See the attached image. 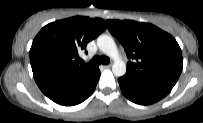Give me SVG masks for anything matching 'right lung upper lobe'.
<instances>
[{
	"instance_id": "right-lung-upper-lobe-1",
	"label": "right lung upper lobe",
	"mask_w": 203,
	"mask_h": 123,
	"mask_svg": "<svg viewBox=\"0 0 203 123\" xmlns=\"http://www.w3.org/2000/svg\"><path fill=\"white\" fill-rule=\"evenodd\" d=\"M106 29L100 18L76 16L44 26L33 40L30 62L37 82L62 75L86 74L97 66L81 64L79 51Z\"/></svg>"
}]
</instances>
